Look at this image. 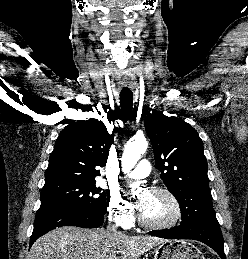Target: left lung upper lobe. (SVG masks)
Returning <instances> with one entry per match:
<instances>
[{"label":"left lung upper lobe","mask_w":248,"mask_h":259,"mask_svg":"<svg viewBox=\"0 0 248 259\" xmlns=\"http://www.w3.org/2000/svg\"><path fill=\"white\" fill-rule=\"evenodd\" d=\"M144 124L161 178L179 202L181 224L215 217L207 160L196 130L182 119L162 112L149 114Z\"/></svg>","instance_id":"obj_1"}]
</instances>
